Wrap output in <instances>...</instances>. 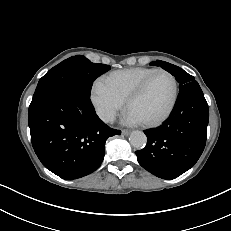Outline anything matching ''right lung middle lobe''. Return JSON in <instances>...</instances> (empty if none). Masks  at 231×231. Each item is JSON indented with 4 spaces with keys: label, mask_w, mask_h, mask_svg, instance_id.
I'll use <instances>...</instances> for the list:
<instances>
[{
    "label": "right lung middle lobe",
    "mask_w": 231,
    "mask_h": 231,
    "mask_svg": "<svg viewBox=\"0 0 231 231\" xmlns=\"http://www.w3.org/2000/svg\"><path fill=\"white\" fill-rule=\"evenodd\" d=\"M110 70L109 65L92 63L86 57H70L50 69L38 82L32 104L59 87L74 88L90 96L94 80Z\"/></svg>",
    "instance_id": "dd1d6c3e"
}]
</instances>
